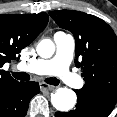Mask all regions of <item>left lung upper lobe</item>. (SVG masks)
<instances>
[{
	"instance_id": "1",
	"label": "left lung upper lobe",
	"mask_w": 117,
	"mask_h": 117,
	"mask_svg": "<svg viewBox=\"0 0 117 117\" xmlns=\"http://www.w3.org/2000/svg\"><path fill=\"white\" fill-rule=\"evenodd\" d=\"M59 27L72 32L76 41L75 64L82 69L88 95L117 100V36L102 19L79 11L49 12Z\"/></svg>"
}]
</instances>
